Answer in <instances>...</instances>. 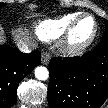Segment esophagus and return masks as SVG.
<instances>
[{
    "instance_id": "1",
    "label": "esophagus",
    "mask_w": 108,
    "mask_h": 108,
    "mask_svg": "<svg viewBox=\"0 0 108 108\" xmlns=\"http://www.w3.org/2000/svg\"><path fill=\"white\" fill-rule=\"evenodd\" d=\"M51 59V54L48 52H43L41 55V62L44 65H48Z\"/></svg>"
}]
</instances>
